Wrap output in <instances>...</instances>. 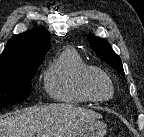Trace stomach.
Here are the masks:
<instances>
[{"label": "stomach", "mask_w": 144, "mask_h": 137, "mask_svg": "<svg viewBox=\"0 0 144 137\" xmlns=\"http://www.w3.org/2000/svg\"><path fill=\"white\" fill-rule=\"evenodd\" d=\"M106 132L107 126L100 121H96L78 128L70 137H104Z\"/></svg>", "instance_id": "0dacf381"}]
</instances>
